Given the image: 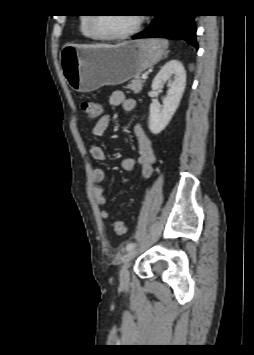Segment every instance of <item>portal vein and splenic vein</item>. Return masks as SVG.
<instances>
[{
	"instance_id": "18ae733b",
	"label": "portal vein and splenic vein",
	"mask_w": 254,
	"mask_h": 355,
	"mask_svg": "<svg viewBox=\"0 0 254 355\" xmlns=\"http://www.w3.org/2000/svg\"><path fill=\"white\" fill-rule=\"evenodd\" d=\"M142 78H143V79H147V75H146V74H143V75H142Z\"/></svg>"
}]
</instances>
